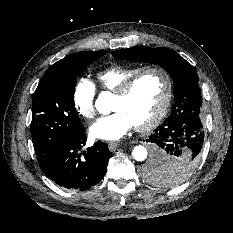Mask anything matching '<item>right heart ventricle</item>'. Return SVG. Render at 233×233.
Here are the masks:
<instances>
[{"mask_svg":"<svg viewBox=\"0 0 233 233\" xmlns=\"http://www.w3.org/2000/svg\"><path fill=\"white\" fill-rule=\"evenodd\" d=\"M140 69L122 65L110 66L96 73V81L101 90L115 92L127 78Z\"/></svg>","mask_w":233,"mask_h":233,"instance_id":"obj_1","label":"right heart ventricle"}]
</instances>
